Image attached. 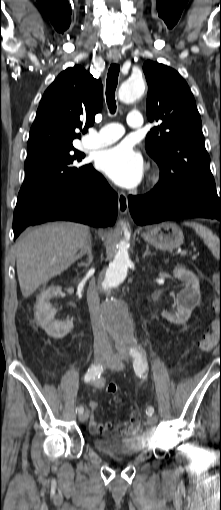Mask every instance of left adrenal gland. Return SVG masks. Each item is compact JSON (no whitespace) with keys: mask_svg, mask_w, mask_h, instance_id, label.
I'll use <instances>...</instances> for the list:
<instances>
[{"mask_svg":"<svg viewBox=\"0 0 221 510\" xmlns=\"http://www.w3.org/2000/svg\"><path fill=\"white\" fill-rule=\"evenodd\" d=\"M148 255H154V253H151V252L149 251V246H148V245H146V250H145V252H144V254H143V258H145V257H146V256H148Z\"/></svg>","mask_w":221,"mask_h":510,"instance_id":"left-adrenal-gland-1","label":"left adrenal gland"}]
</instances>
